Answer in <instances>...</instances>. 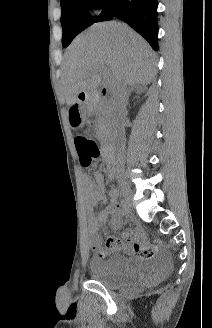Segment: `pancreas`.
<instances>
[{
    "label": "pancreas",
    "mask_w": 212,
    "mask_h": 328,
    "mask_svg": "<svg viewBox=\"0 0 212 328\" xmlns=\"http://www.w3.org/2000/svg\"><path fill=\"white\" fill-rule=\"evenodd\" d=\"M96 114L97 135L101 139H107L112 133V122L110 119L109 106L106 103H97L94 105Z\"/></svg>",
    "instance_id": "1"
}]
</instances>
